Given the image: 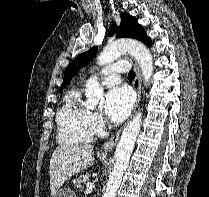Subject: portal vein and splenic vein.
<instances>
[{"label":"portal vein and splenic vein","mask_w":209,"mask_h":197,"mask_svg":"<svg viewBox=\"0 0 209 197\" xmlns=\"http://www.w3.org/2000/svg\"><path fill=\"white\" fill-rule=\"evenodd\" d=\"M93 188H94V182L90 181L86 184V192L93 190Z\"/></svg>","instance_id":"portal-vein-and-splenic-vein-1"}]
</instances>
